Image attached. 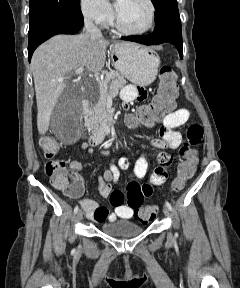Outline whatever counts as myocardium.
<instances>
[{"label": "myocardium", "instance_id": "f54148a6", "mask_svg": "<svg viewBox=\"0 0 240 288\" xmlns=\"http://www.w3.org/2000/svg\"><path fill=\"white\" fill-rule=\"evenodd\" d=\"M147 3L150 6L151 9V20H150V24L148 25V27H146L145 29L142 30H132L129 29L123 22V20L121 19L118 11H116L115 13V24L117 26V28L126 33V34H130V35H142V34H146L149 31H151L155 25V21H156V7L155 4L153 2V0H146Z\"/></svg>", "mask_w": 240, "mask_h": 288}]
</instances>
